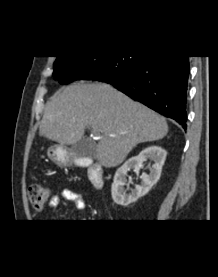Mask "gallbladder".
<instances>
[{
	"label": "gallbladder",
	"mask_w": 218,
	"mask_h": 277,
	"mask_svg": "<svg viewBox=\"0 0 218 277\" xmlns=\"http://www.w3.org/2000/svg\"><path fill=\"white\" fill-rule=\"evenodd\" d=\"M95 147L91 140L82 138L74 143L71 147V151L74 155L82 157L85 155H91L94 153Z\"/></svg>",
	"instance_id": "1"
}]
</instances>
